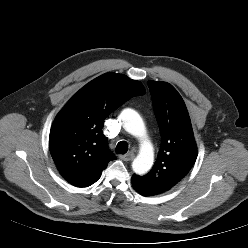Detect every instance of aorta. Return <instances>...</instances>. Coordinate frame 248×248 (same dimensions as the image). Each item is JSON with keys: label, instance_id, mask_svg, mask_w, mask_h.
<instances>
[{"label": "aorta", "instance_id": "1", "mask_svg": "<svg viewBox=\"0 0 248 248\" xmlns=\"http://www.w3.org/2000/svg\"><path fill=\"white\" fill-rule=\"evenodd\" d=\"M124 129L141 141L139 155L132 162L133 171L137 174L147 173L154 162V151L147 138L146 128L141 116L133 109H124L121 113Z\"/></svg>", "mask_w": 248, "mask_h": 248}]
</instances>
